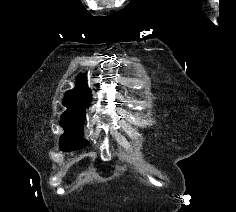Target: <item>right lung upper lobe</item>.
Returning a JSON list of instances; mask_svg holds the SVG:
<instances>
[{
	"label": "right lung upper lobe",
	"instance_id": "cb5924a9",
	"mask_svg": "<svg viewBox=\"0 0 236 212\" xmlns=\"http://www.w3.org/2000/svg\"><path fill=\"white\" fill-rule=\"evenodd\" d=\"M91 92L86 84V78L83 74L79 75L76 80V87L66 92L63 99V105L67 110L85 111L89 107Z\"/></svg>",
	"mask_w": 236,
	"mask_h": 212
}]
</instances>
